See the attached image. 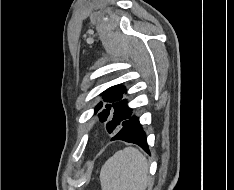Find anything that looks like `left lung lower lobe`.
I'll return each instance as SVG.
<instances>
[{
  "mask_svg": "<svg viewBox=\"0 0 234 190\" xmlns=\"http://www.w3.org/2000/svg\"><path fill=\"white\" fill-rule=\"evenodd\" d=\"M114 140H123L129 143H135L147 153H150L147 144V138L139 122V119L132 114L122 124L116 135L111 139V141Z\"/></svg>",
  "mask_w": 234,
  "mask_h": 190,
  "instance_id": "1",
  "label": "left lung lower lobe"
}]
</instances>
